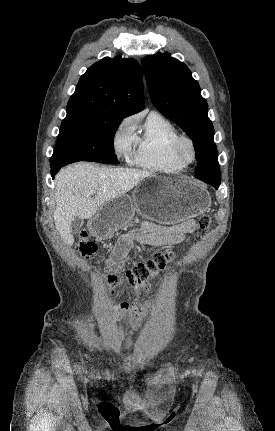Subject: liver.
I'll list each match as a JSON object with an SVG mask.
<instances>
[{
  "mask_svg": "<svg viewBox=\"0 0 275 431\" xmlns=\"http://www.w3.org/2000/svg\"><path fill=\"white\" fill-rule=\"evenodd\" d=\"M152 173L144 170L105 168L92 163H74L61 169L55 177L56 229L64 243L71 246L70 229L75 217L92 218L105 203L125 195ZM96 191L92 199L90 191Z\"/></svg>",
  "mask_w": 275,
  "mask_h": 431,
  "instance_id": "liver-1",
  "label": "liver"
}]
</instances>
